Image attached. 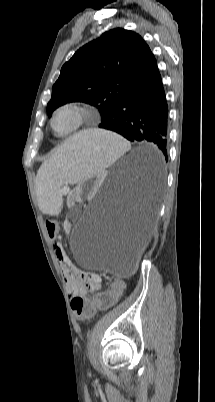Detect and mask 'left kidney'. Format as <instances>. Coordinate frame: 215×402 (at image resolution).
<instances>
[{"label":"left kidney","instance_id":"left-kidney-1","mask_svg":"<svg viewBox=\"0 0 215 402\" xmlns=\"http://www.w3.org/2000/svg\"><path fill=\"white\" fill-rule=\"evenodd\" d=\"M105 176V171L103 169H98L94 175H86L82 179V184H75L72 191L69 193V204L79 205L80 200H91L93 197L92 193H96L98 190V185L100 181L103 180ZM66 228L71 229L74 226L73 221L68 220L65 223Z\"/></svg>","mask_w":215,"mask_h":402}]
</instances>
